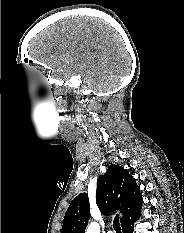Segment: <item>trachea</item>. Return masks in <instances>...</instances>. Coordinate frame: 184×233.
Instances as JSON below:
<instances>
[{
	"mask_svg": "<svg viewBox=\"0 0 184 233\" xmlns=\"http://www.w3.org/2000/svg\"><path fill=\"white\" fill-rule=\"evenodd\" d=\"M113 227L116 231V233H121V227H120V222H119V216L116 215L113 221Z\"/></svg>",
	"mask_w": 184,
	"mask_h": 233,
	"instance_id": "1",
	"label": "trachea"
}]
</instances>
